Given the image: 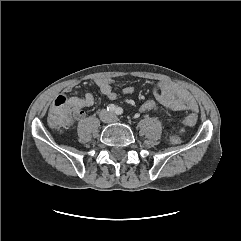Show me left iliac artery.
I'll use <instances>...</instances> for the list:
<instances>
[{
	"instance_id": "obj_1",
	"label": "left iliac artery",
	"mask_w": 241,
	"mask_h": 241,
	"mask_svg": "<svg viewBox=\"0 0 241 241\" xmlns=\"http://www.w3.org/2000/svg\"><path fill=\"white\" fill-rule=\"evenodd\" d=\"M115 113H116L117 115H121V114H123V109H122L121 107H116Z\"/></svg>"
}]
</instances>
